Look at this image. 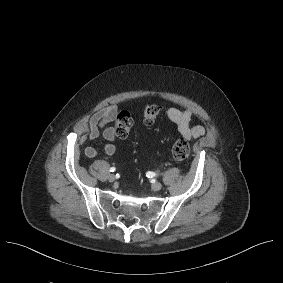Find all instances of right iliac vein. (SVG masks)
Instances as JSON below:
<instances>
[{
    "mask_svg": "<svg viewBox=\"0 0 283 283\" xmlns=\"http://www.w3.org/2000/svg\"><path fill=\"white\" fill-rule=\"evenodd\" d=\"M108 180H109L110 182H114V181H115V175H114V174H110V175L108 176Z\"/></svg>",
    "mask_w": 283,
    "mask_h": 283,
    "instance_id": "63e3f726",
    "label": "right iliac vein"
}]
</instances>
